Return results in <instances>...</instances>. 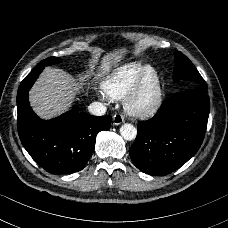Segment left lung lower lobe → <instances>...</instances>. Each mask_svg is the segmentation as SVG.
I'll return each mask as SVG.
<instances>
[{"instance_id":"0a47b994","label":"left lung lower lobe","mask_w":228,"mask_h":228,"mask_svg":"<svg viewBox=\"0 0 228 228\" xmlns=\"http://www.w3.org/2000/svg\"><path fill=\"white\" fill-rule=\"evenodd\" d=\"M209 110V97L203 88L171 95L153 118L138 123L129 151L134 165L154 176L180 168L200 148Z\"/></svg>"}]
</instances>
